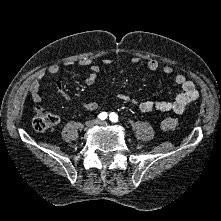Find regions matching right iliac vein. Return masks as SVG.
Masks as SVG:
<instances>
[{
  "label": "right iliac vein",
  "instance_id": "obj_1",
  "mask_svg": "<svg viewBox=\"0 0 221 221\" xmlns=\"http://www.w3.org/2000/svg\"><path fill=\"white\" fill-rule=\"evenodd\" d=\"M97 121H98V120H96V119H94V120H88V121L85 122V127H86V128H90V127H92L94 124H96Z\"/></svg>",
  "mask_w": 221,
  "mask_h": 221
}]
</instances>
